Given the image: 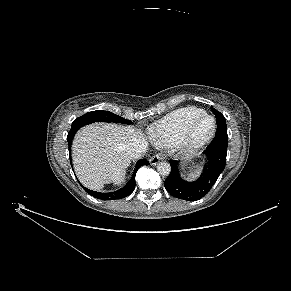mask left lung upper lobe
<instances>
[{
	"label": "left lung upper lobe",
	"mask_w": 291,
	"mask_h": 291,
	"mask_svg": "<svg viewBox=\"0 0 291 291\" xmlns=\"http://www.w3.org/2000/svg\"><path fill=\"white\" fill-rule=\"evenodd\" d=\"M212 112L214 113L216 117L218 129L227 130L225 117L214 108H212Z\"/></svg>",
	"instance_id": "obj_1"
}]
</instances>
